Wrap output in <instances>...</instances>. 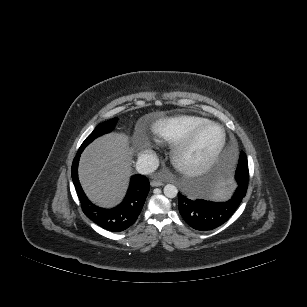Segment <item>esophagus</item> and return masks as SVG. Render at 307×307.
Masks as SVG:
<instances>
[{"label": "esophagus", "mask_w": 307, "mask_h": 307, "mask_svg": "<svg viewBox=\"0 0 307 307\" xmlns=\"http://www.w3.org/2000/svg\"><path fill=\"white\" fill-rule=\"evenodd\" d=\"M163 185V182L162 181H160V180H152L151 181V186L152 187H159V186H162Z\"/></svg>", "instance_id": "1"}]
</instances>
